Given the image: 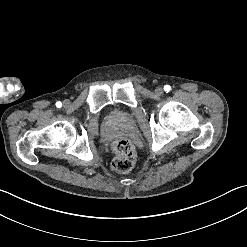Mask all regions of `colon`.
Wrapping results in <instances>:
<instances>
[{"label": "colon", "instance_id": "5ec220e1", "mask_svg": "<svg viewBox=\"0 0 247 247\" xmlns=\"http://www.w3.org/2000/svg\"><path fill=\"white\" fill-rule=\"evenodd\" d=\"M116 157L112 162V170L116 173H126L136 164L137 155L133 145L126 139H120L114 144Z\"/></svg>", "mask_w": 247, "mask_h": 247}]
</instances>
